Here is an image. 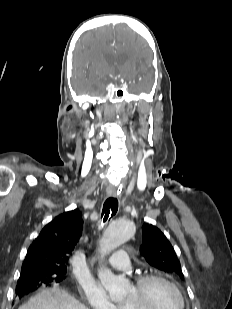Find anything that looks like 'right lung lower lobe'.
Wrapping results in <instances>:
<instances>
[{
  "instance_id": "98d812e1",
  "label": "right lung lower lobe",
  "mask_w": 232,
  "mask_h": 309,
  "mask_svg": "<svg viewBox=\"0 0 232 309\" xmlns=\"http://www.w3.org/2000/svg\"><path fill=\"white\" fill-rule=\"evenodd\" d=\"M37 288H38V286L24 285L22 287L16 288V295L21 298V297L29 294L30 292L36 290Z\"/></svg>"
}]
</instances>
